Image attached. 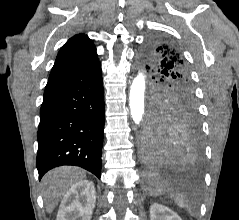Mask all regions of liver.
<instances>
[{
  "label": "liver",
  "instance_id": "1",
  "mask_svg": "<svg viewBox=\"0 0 239 220\" xmlns=\"http://www.w3.org/2000/svg\"><path fill=\"white\" fill-rule=\"evenodd\" d=\"M84 178L85 172L76 167L65 166L49 171L41 181L47 213H52L67 191Z\"/></svg>",
  "mask_w": 239,
  "mask_h": 220
}]
</instances>
